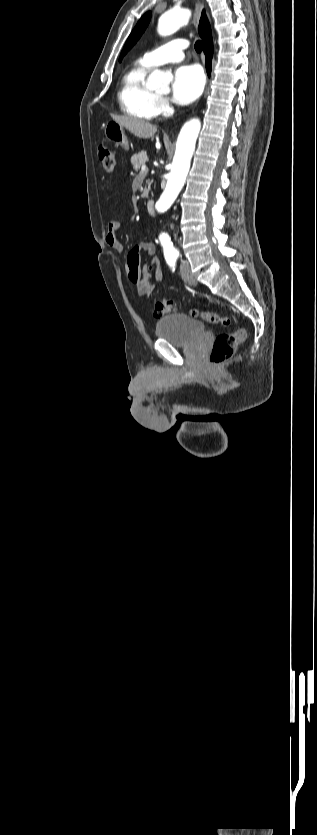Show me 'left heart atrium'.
<instances>
[{
	"label": "left heart atrium",
	"mask_w": 317,
	"mask_h": 835,
	"mask_svg": "<svg viewBox=\"0 0 317 835\" xmlns=\"http://www.w3.org/2000/svg\"><path fill=\"white\" fill-rule=\"evenodd\" d=\"M204 75L197 65H184L176 69L173 83V99L178 104H189L202 93Z\"/></svg>",
	"instance_id": "1"
}]
</instances>
